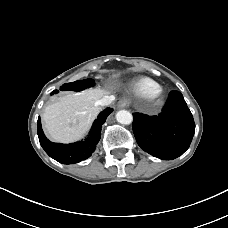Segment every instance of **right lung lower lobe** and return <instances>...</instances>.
Wrapping results in <instances>:
<instances>
[{"label": "right lung lower lobe", "instance_id": "obj_1", "mask_svg": "<svg viewBox=\"0 0 228 228\" xmlns=\"http://www.w3.org/2000/svg\"><path fill=\"white\" fill-rule=\"evenodd\" d=\"M57 92L58 91H55L51 94ZM112 111V109L107 108L99 114L98 118L93 123L89 137L85 141H80L68 145L50 142L45 137L41 127L40 118H38L37 130L40 144L50 157L60 163L73 164L85 160L90 157L95 151L96 145L98 144L101 137V126L104 124L107 116Z\"/></svg>", "mask_w": 228, "mask_h": 228}]
</instances>
